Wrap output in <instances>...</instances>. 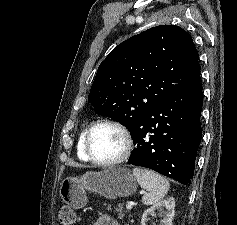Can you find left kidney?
<instances>
[{
	"mask_svg": "<svg viewBox=\"0 0 237 225\" xmlns=\"http://www.w3.org/2000/svg\"><path fill=\"white\" fill-rule=\"evenodd\" d=\"M164 208L166 209V211H163ZM174 208L175 200L172 197L154 204L149 209L145 210V212L143 213L141 225H146L148 221V216L153 214L154 210H160V216L163 217L161 219V225H173L172 219L175 213Z\"/></svg>",
	"mask_w": 237,
	"mask_h": 225,
	"instance_id": "5707ae66",
	"label": "left kidney"
}]
</instances>
